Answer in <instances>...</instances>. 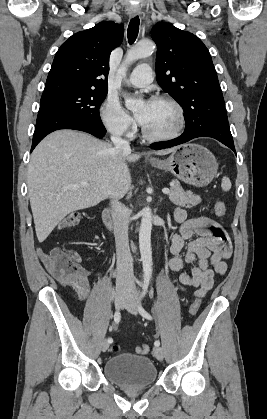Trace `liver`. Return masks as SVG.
<instances>
[{
  "instance_id": "obj_1",
  "label": "liver",
  "mask_w": 267,
  "mask_h": 419,
  "mask_svg": "<svg viewBox=\"0 0 267 419\" xmlns=\"http://www.w3.org/2000/svg\"><path fill=\"white\" fill-rule=\"evenodd\" d=\"M140 157L83 132L58 130L46 136L32 152L27 174L38 241L43 242L68 214L123 197L132 182L127 163Z\"/></svg>"
}]
</instances>
